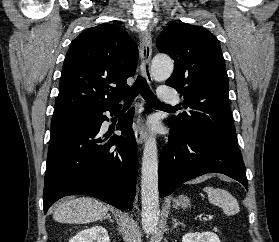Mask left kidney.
Wrapping results in <instances>:
<instances>
[{
	"label": "left kidney",
	"instance_id": "1",
	"mask_svg": "<svg viewBox=\"0 0 279 242\" xmlns=\"http://www.w3.org/2000/svg\"><path fill=\"white\" fill-rule=\"evenodd\" d=\"M182 242H221L218 236L213 232H190L182 237Z\"/></svg>",
	"mask_w": 279,
	"mask_h": 242
}]
</instances>
